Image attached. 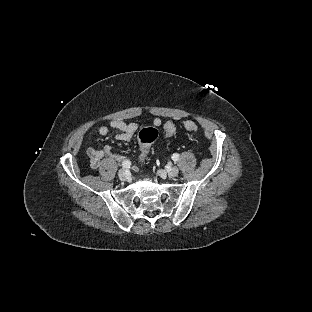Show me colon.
<instances>
[{
    "instance_id": "obj_1",
    "label": "colon",
    "mask_w": 312,
    "mask_h": 312,
    "mask_svg": "<svg viewBox=\"0 0 312 312\" xmlns=\"http://www.w3.org/2000/svg\"><path fill=\"white\" fill-rule=\"evenodd\" d=\"M197 128V125L193 121H189L185 124L184 129L186 132L191 133L195 131ZM164 129L168 133H172L175 131L176 126L172 122H168L165 124ZM158 132L155 127H147L143 129L140 134H139V143H140V148H141V155L146 156L149 146L151 143L157 138Z\"/></svg>"
}]
</instances>
